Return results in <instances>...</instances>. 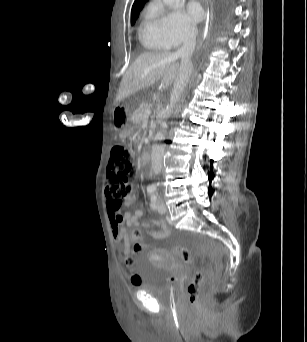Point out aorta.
I'll list each match as a JSON object with an SVG mask.
<instances>
[{"label": "aorta", "mask_w": 307, "mask_h": 342, "mask_svg": "<svg viewBox=\"0 0 307 342\" xmlns=\"http://www.w3.org/2000/svg\"><path fill=\"white\" fill-rule=\"evenodd\" d=\"M162 2H164L165 6H168V8H174L176 2H178V0H162Z\"/></svg>", "instance_id": "1"}]
</instances>
